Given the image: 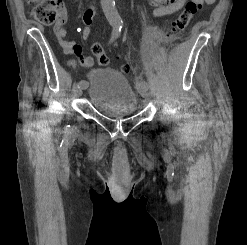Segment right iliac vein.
Wrapping results in <instances>:
<instances>
[{
  "label": "right iliac vein",
  "instance_id": "1",
  "mask_svg": "<svg viewBox=\"0 0 247 245\" xmlns=\"http://www.w3.org/2000/svg\"><path fill=\"white\" fill-rule=\"evenodd\" d=\"M84 89H86V87H79L78 85L77 90H76V96L80 97Z\"/></svg>",
  "mask_w": 247,
  "mask_h": 245
}]
</instances>
